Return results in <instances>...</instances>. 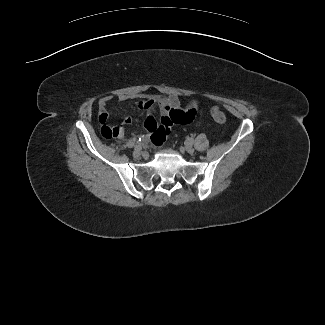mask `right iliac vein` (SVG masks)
<instances>
[{
	"label": "right iliac vein",
	"instance_id": "1",
	"mask_svg": "<svg viewBox=\"0 0 325 325\" xmlns=\"http://www.w3.org/2000/svg\"><path fill=\"white\" fill-rule=\"evenodd\" d=\"M140 154H141V147L136 146L134 151H133V156L138 157V156H140Z\"/></svg>",
	"mask_w": 325,
	"mask_h": 325
}]
</instances>
